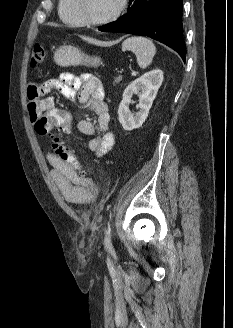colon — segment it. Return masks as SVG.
Masks as SVG:
<instances>
[{"mask_svg":"<svg viewBox=\"0 0 233 328\" xmlns=\"http://www.w3.org/2000/svg\"><path fill=\"white\" fill-rule=\"evenodd\" d=\"M46 57V50L41 44H35L32 50L31 67H39ZM72 118L68 111L55 108L41 115L35 120V130L40 135L49 136L52 139L54 154L76 173L82 175L81 164L66 146L62 134L69 132Z\"/></svg>","mask_w":233,"mask_h":328,"instance_id":"5ec220e1","label":"colon"}]
</instances>
